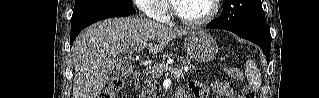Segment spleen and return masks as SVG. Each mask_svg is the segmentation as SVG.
<instances>
[{
	"mask_svg": "<svg viewBox=\"0 0 319 98\" xmlns=\"http://www.w3.org/2000/svg\"><path fill=\"white\" fill-rule=\"evenodd\" d=\"M246 78L254 91L259 90L261 86V75L257 68V65L252 61L248 60L245 65Z\"/></svg>",
	"mask_w": 319,
	"mask_h": 98,
	"instance_id": "3e777b00",
	"label": "spleen"
}]
</instances>
